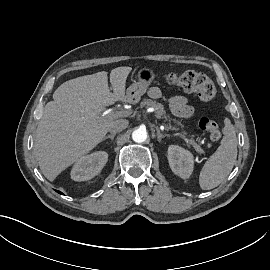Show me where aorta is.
I'll use <instances>...</instances> for the list:
<instances>
[{
    "label": "aorta",
    "mask_w": 270,
    "mask_h": 270,
    "mask_svg": "<svg viewBox=\"0 0 270 270\" xmlns=\"http://www.w3.org/2000/svg\"><path fill=\"white\" fill-rule=\"evenodd\" d=\"M132 139L136 143L145 142L147 139V131L145 127H139L138 129L134 130L132 133Z\"/></svg>",
    "instance_id": "1"
}]
</instances>
